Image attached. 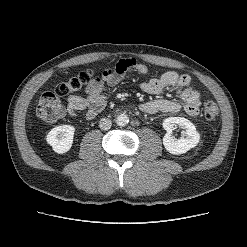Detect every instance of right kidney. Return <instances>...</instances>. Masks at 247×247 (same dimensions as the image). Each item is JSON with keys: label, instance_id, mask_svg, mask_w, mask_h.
<instances>
[{"label": "right kidney", "instance_id": "obj_1", "mask_svg": "<svg viewBox=\"0 0 247 247\" xmlns=\"http://www.w3.org/2000/svg\"><path fill=\"white\" fill-rule=\"evenodd\" d=\"M75 128L71 125H62L53 128L47 135L46 141L58 154L68 152L73 144Z\"/></svg>", "mask_w": 247, "mask_h": 247}]
</instances>
